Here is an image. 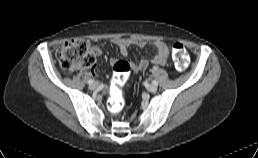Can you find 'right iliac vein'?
<instances>
[{
    "label": "right iliac vein",
    "instance_id": "63e3f726",
    "mask_svg": "<svg viewBox=\"0 0 258 158\" xmlns=\"http://www.w3.org/2000/svg\"><path fill=\"white\" fill-rule=\"evenodd\" d=\"M97 87H98V84L96 82L90 84V86H89L90 90H95Z\"/></svg>",
    "mask_w": 258,
    "mask_h": 158
}]
</instances>
